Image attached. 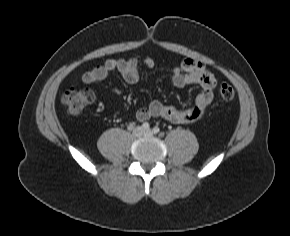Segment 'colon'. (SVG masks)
Here are the masks:
<instances>
[{
  "label": "colon",
  "instance_id": "5ec220e1",
  "mask_svg": "<svg viewBox=\"0 0 290 236\" xmlns=\"http://www.w3.org/2000/svg\"><path fill=\"white\" fill-rule=\"evenodd\" d=\"M220 97L225 101H230L235 96L234 89L223 84L219 90ZM94 100V93L88 88L71 87L62 95V102L67 106L71 115H79Z\"/></svg>",
  "mask_w": 290,
  "mask_h": 236
}]
</instances>
